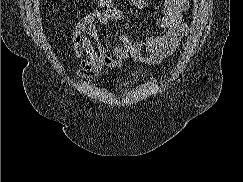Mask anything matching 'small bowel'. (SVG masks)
Masks as SVG:
<instances>
[{
    "label": "small bowel",
    "mask_w": 243,
    "mask_h": 182,
    "mask_svg": "<svg viewBox=\"0 0 243 182\" xmlns=\"http://www.w3.org/2000/svg\"><path fill=\"white\" fill-rule=\"evenodd\" d=\"M138 8L144 0H131ZM190 0H165L155 12L157 25L163 34L134 41L129 35L119 36L120 45L108 46L102 39L98 25H107L123 19L116 9H93L76 24L71 35L72 50L79 67L76 74L86 79H96L104 69H118L126 60L146 65H156L169 57L188 33L183 14L189 9ZM144 51L149 52L144 55Z\"/></svg>",
    "instance_id": "obj_1"
}]
</instances>
